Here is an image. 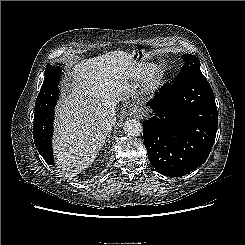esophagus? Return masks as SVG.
I'll return each mask as SVG.
<instances>
[{"label": "esophagus", "instance_id": "obj_1", "mask_svg": "<svg viewBox=\"0 0 245 245\" xmlns=\"http://www.w3.org/2000/svg\"><path fill=\"white\" fill-rule=\"evenodd\" d=\"M126 114H128V115H130V116H136V117H139L140 114H141V111H140V109L132 108V109H130Z\"/></svg>", "mask_w": 245, "mask_h": 245}]
</instances>
